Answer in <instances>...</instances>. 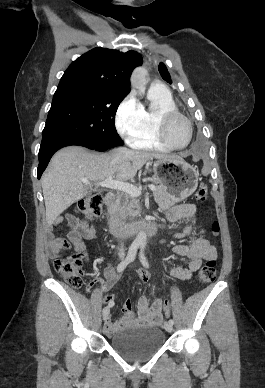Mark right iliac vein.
<instances>
[{
    "label": "right iliac vein",
    "mask_w": 265,
    "mask_h": 388,
    "mask_svg": "<svg viewBox=\"0 0 265 388\" xmlns=\"http://www.w3.org/2000/svg\"><path fill=\"white\" fill-rule=\"evenodd\" d=\"M110 310L108 307H105L102 311L103 320H106L109 316Z\"/></svg>",
    "instance_id": "right-iliac-vein-1"
}]
</instances>
